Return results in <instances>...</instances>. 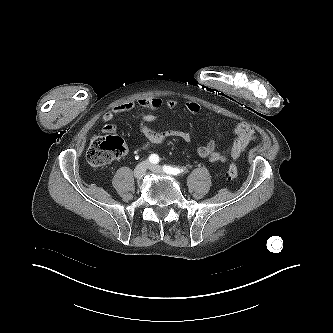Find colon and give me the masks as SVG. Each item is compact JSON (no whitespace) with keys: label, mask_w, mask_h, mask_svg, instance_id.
I'll use <instances>...</instances> for the list:
<instances>
[{"label":"colon","mask_w":333,"mask_h":333,"mask_svg":"<svg viewBox=\"0 0 333 333\" xmlns=\"http://www.w3.org/2000/svg\"><path fill=\"white\" fill-rule=\"evenodd\" d=\"M126 152V147L121 138L117 136H97L93 138L86 152L87 161L96 167L105 166L119 159ZM229 180L238 176L235 163L230 164L226 173Z\"/></svg>","instance_id":"1"}]
</instances>
